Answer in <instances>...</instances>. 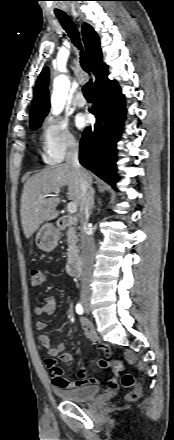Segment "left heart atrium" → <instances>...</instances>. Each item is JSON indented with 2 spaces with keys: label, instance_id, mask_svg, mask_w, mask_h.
Returning a JSON list of instances; mask_svg holds the SVG:
<instances>
[{
  "label": "left heart atrium",
  "instance_id": "left-heart-atrium-1",
  "mask_svg": "<svg viewBox=\"0 0 174 440\" xmlns=\"http://www.w3.org/2000/svg\"><path fill=\"white\" fill-rule=\"evenodd\" d=\"M86 123H87V119L84 115H78L75 118V125L80 129L83 128L86 125Z\"/></svg>",
  "mask_w": 174,
  "mask_h": 440
}]
</instances>
